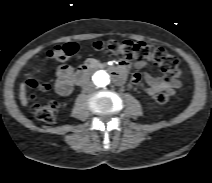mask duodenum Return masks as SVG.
I'll return each instance as SVG.
<instances>
[{"mask_svg": "<svg viewBox=\"0 0 212 183\" xmlns=\"http://www.w3.org/2000/svg\"><path fill=\"white\" fill-rule=\"evenodd\" d=\"M99 66L92 63H86L81 65L74 75V80L77 84L83 83ZM111 78L115 82H122L124 79L123 72L120 68L111 70Z\"/></svg>", "mask_w": 212, "mask_h": 183, "instance_id": "duodenum-1", "label": "duodenum"}]
</instances>
